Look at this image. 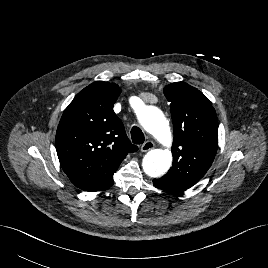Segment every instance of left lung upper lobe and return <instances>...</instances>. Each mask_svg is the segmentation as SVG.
I'll return each instance as SVG.
<instances>
[{"label": "left lung upper lobe", "mask_w": 268, "mask_h": 268, "mask_svg": "<svg viewBox=\"0 0 268 268\" xmlns=\"http://www.w3.org/2000/svg\"><path fill=\"white\" fill-rule=\"evenodd\" d=\"M163 91L173 122V163L153 184L178 193L196 184L211 166L218 147V120L209 99L189 84L175 82Z\"/></svg>", "instance_id": "obj_1"}]
</instances>
